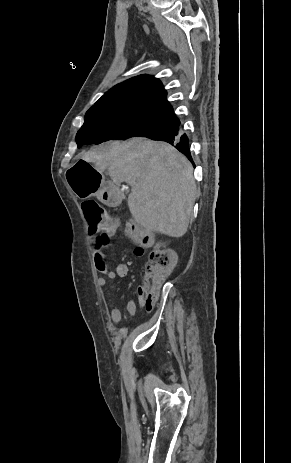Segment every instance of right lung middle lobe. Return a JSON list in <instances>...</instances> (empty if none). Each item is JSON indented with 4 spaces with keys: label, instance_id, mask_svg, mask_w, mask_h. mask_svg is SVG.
Listing matches in <instances>:
<instances>
[{
    "label": "right lung middle lobe",
    "instance_id": "right-lung-middle-lobe-1",
    "mask_svg": "<svg viewBox=\"0 0 291 463\" xmlns=\"http://www.w3.org/2000/svg\"><path fill=\"white\" fill-rule=\"evenodd\" d=\"M169 126L166 120L142 114L111 113L89 109L76 135L78 148L86 144H100L109 140L146 137Z\"/></svg>",
    "mask_w": 291,
    "mask_h": 463
}]
</instances>
